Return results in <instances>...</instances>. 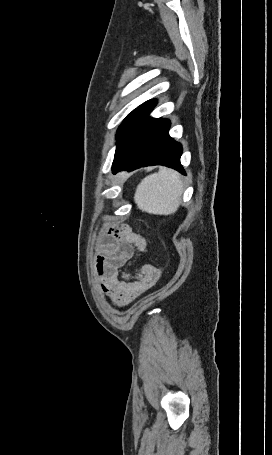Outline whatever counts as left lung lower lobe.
I'll return each mask as SVG.
<instances>
[{
	"mask_svg": "<svg viewBox=\"0 0 272 455\" xmlns=\"http://www.w3.org/2000/svg\"><path fill=\"white\" fill-rule=\"evenodd\" d=\"M156 105L150 101L122 128L112 165L113 173L134 170L144 166L164 165L185 174L180 157L182 146L168 134L170 121L149 117Z\"/></svg>",
	"mask_w": 272,
	"mask_h": 455,
	"instance_id": "left-lung-lower-lobe-1",
	"label": "left lung lower lobe"
}]
</instances>
